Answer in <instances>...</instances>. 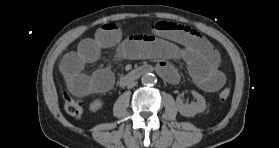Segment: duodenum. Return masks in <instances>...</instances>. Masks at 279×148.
Masks as SVG:
<instances>
[{"label": "duodenum", "mask_w": 279, "mask_h": 148, "mask_svg": "<svg viewBox=\"0 0 279 148\" xmlns=\"http://www.w3.org/2000/svg\"><path fill=\"white\" fill-rule=\"evenodd\" d=\"M154 68L150 65H143L133 69L132 71L126 73L120 80L121 84H126L131 81L137 80L142 76L152 72Z\"/></svg>", "instance_id": "duodenum-1"}]
</instances>
